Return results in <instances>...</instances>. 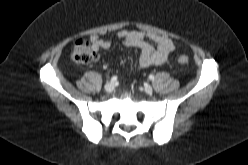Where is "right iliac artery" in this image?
Segmentation results:
<instances>
[{"mask_svg":"<svg viewBox=\"0 0 248 165\" xmlns=\"http://www.w3.org/2000/svg\"><path fill=\"white\" fill-rule=\"evenodd\" d=\"M117 80V76H113L112 78H111V82H114V81H116Z\"/></svg>","mask_w":248,"mask_h":165,"instance_id":"obj_1","label":"right iliac artery"}]
</instances>
